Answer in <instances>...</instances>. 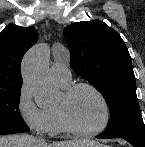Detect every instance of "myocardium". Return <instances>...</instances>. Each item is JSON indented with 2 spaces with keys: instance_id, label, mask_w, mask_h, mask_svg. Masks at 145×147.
<instances>
[{
  "instance_id": "1",
  "label": "myocardium",
  "mask_w": 145,
  "mask_h": 147,
  "mask_svg": "<svg viewBox=\"0 0 145 147\" xmlns=\"http://www.w3.org/2000/svg\"><path fill=\"white\" fill-rule=\"evenodd\" d=\"M80 89H88L92 91L101 101L104 108L105 116H104V120L102 124L99 127L92 130H81L71 123V121L67 117V114L65 112L63 105H56L55 110L57 112L59 121L66 132L78 137H92V136L100 134L108 127L111 120V108L104 94L96 86L90 83L82 82V83H75V84L69 85L68 87L64 89V92L62 94L63 99L64 100L70 99Z\"/></svg>"
}]
</instances>
